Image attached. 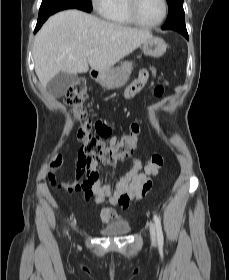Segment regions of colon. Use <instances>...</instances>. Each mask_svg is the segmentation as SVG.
Returning <instances> with one entry per match:
<instances>
[{
    "label": "colon",
    "instance_id": "colon-1",
    "mask_svg": "<svg viewBox=\"0 0 229 280\" xmlns=\"http://www.w3.org/2000/svg\"><path fill=\"white\" fill-rule=\"evenodd\" d=\"M87 98V88L84 81L72 83L67 92L66 102L71 108L72 116L79 122L77 138L80 141L78 165L85 171V177L88 184H94L99 179V174L95 170L98 162L105 164H114L119 157L131 156L137 148L139 141L140 127L138 123H133L130 131L123 135L120 141L114 145H107L102 141L101 136L110 133V128L104 123H95L88 119L84 109V103ZM97 127V132L92 133V127ZM62 164L60 153L51 162V173ZM163 158L160 154L154 153L148 161L146 168L150 171H156L162 166ZM151 181L143 183L140 195H145L151 188ZM73 189L72 187H69Z\"/></svg>",
    "mask_w": 229,
    "mask_h": 280
}]
</instances>
